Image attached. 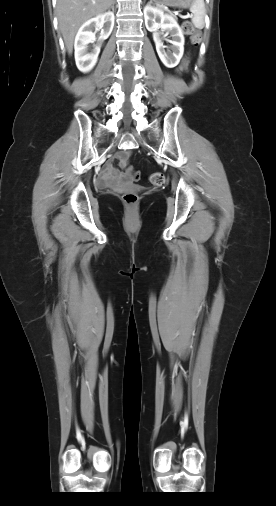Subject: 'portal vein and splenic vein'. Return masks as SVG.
I'll use <instances>...</instances> for the list:
<instances>
[{
  "mask_svg": "<svg viewBox=\"0 0 276 506\" xmlns=\"http://www.w3.org/2000/svg\"><path fill=\"white\" fill-rule=\"evenodd\" d=\"M166 11H168V12H169V10H166ZM174 14H175V15H178L179 13H178V11H175V12H174Z\"/></svg>",
  "mask_w": 276,
  "mask_h": 506,
  "instance_id": "18ae733b",
  "label": "portal vein and splenic vein"
}]
</instances>
